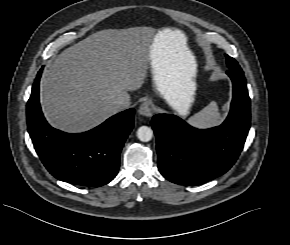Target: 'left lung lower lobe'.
Returning <instances> with one entry per match:
<instances>
[{
	"instance_id": "left-lung-lower-lobe-1",
	"label": "left lung lower lobe",
	"mask_w": 290,
	"mask_h": 245,
	"mask_svg": "<svg viewBox=\"0 0 290 245\" xmlns=\"http://www.w3.org/2000/svg\"><path fill=\"white\" fill-rule=\"evenodd\" d=\"M233 84L230 113L218 127L199 130L175 115L152 119L158 168L171 182L199 185L227 172L243 149L250 128V98L243 71L229 69Z\"/></svg>"
}]
</instances>
